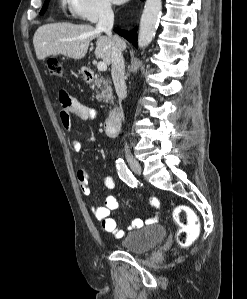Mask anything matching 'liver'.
I'll return each instance as SVG.
<instances>
[{"label":"liver","mask_w":247,"mask_h":299,"mask_svg":"<svg viewBox=\"0 0 247 299\" xmlns=\"http://www.w3.org/2000/svg\"><path fill=\"white\" fill-rule=\"evenodd\" d=\"M97 39L95 56L106 65L111 63L112 44L126 49V43L119 37L101 35L92 25L72 23H51L40 26L34 34L33 44L38 60L49 56L63 55L72 59H82L92 40Z\"/></svg>","instance_id":"1"}]
</instances>
